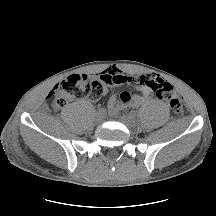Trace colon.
Returning <instances> with one entry per match:
<instances>
[{
  "label": "colon",
  "instance_id": "1",
  "mask_svg": "<svg viewBox=\"0 0 216 216\" xmlns=\"http://www.w3.org/2000/svg\"><path fill=\"white\" fill-rule=\"evenodd\" d=\"M142 83L158 98L163 99L177 117L182 116V99L170 83L160 77L148 78L142 81ZM102 94L103 85L100 81L92 79L87 75L73 74L57 84L51 91L49 98L55 109H62L77 96L97 100ZM134 94V90L121 92L114 99L113 106L117 107L129 102Z\"/></svg>",
  "mask_w": 216,
  "mask_h": 216
}]
</instances>
